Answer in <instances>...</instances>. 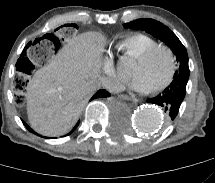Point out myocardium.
<instances>
[{
  "label": "myocardium",
  "mask_w": 215,
  "mask_h": 183,
  "mask_svg": "<svg viewBox=\"0 0 215 183\" xmlns=\"http://www.w3.org/2000/svg\"><path fill=\"white\" fill-rule=\"evenodd\" d=\"M158 52H164L168 55L170 62H171V69H170L168 78L160 85L150 89L149 92H151V93H158V92L166 89L168 86H170L172 84V82L174 81L176 73H177L176 57H175V54L173 53V51L168 46L160 45V44L157 46H154V47L146 50L145 52L139 54L136 59L144 62V61L151 59Z\"/></svg>",
  "instance_id": "myocardium-1"
}]
</instances>
